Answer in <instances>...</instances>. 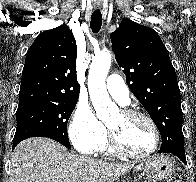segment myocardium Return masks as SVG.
Listing matches in <instances>:
<instances>
[{
    "mask_svg": "<svg viewBox=\"0 0 196 182\" xmlns=\"http://www.w3.org/2000/svg\"><path fill=\"white\" fill-rule=\"evenodd\" d=\"M120 113L126 117H137V118L144 119L150 125L152 129L153 136H154V142H153L151 149L148 150L147 152L142 153V154L133 153V152L128 151L126 148L122 146V144L117 139L116 135L108 127L109 141H110L112 150L122 156L131 158V159H145L153 155L157 151L159 144H160L159 128L156 122L153 120V118L144 112L132 110V109H123L120 111Z\"/></svg>",
    "mask_w": 196,
    "mask_h": 182,
    "instance_id": "f54148a6",
    "label": "myocardium"
}]
</instances>
